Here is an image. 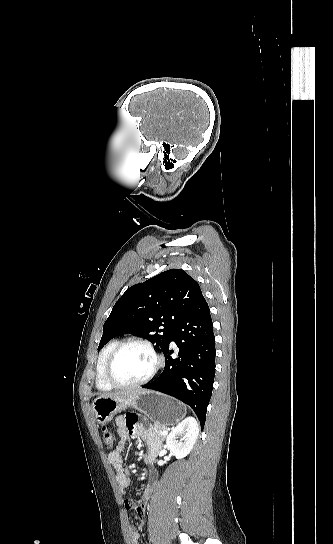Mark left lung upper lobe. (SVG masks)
Segmentation results:
<instances>
[{
  "mask_svg": "<svg viewBox=\"0 0 333 544\" xmlns=\"http://www.w3.org/2000/svg\"><path fill=\"white\" fill-rule=\"evenodd\" d=\"M201 295L199 284L181 269L131 286L105 321L98 350L113 337L130 332L150 339L164 351L175 326Z\"/></svg>",
  "mask_w": 333,
  "mask_h": 544,
  "instance_id": "left-lung-upper-lobe-1",
  "label": "left lung upper lobe"
}]
</instances>
